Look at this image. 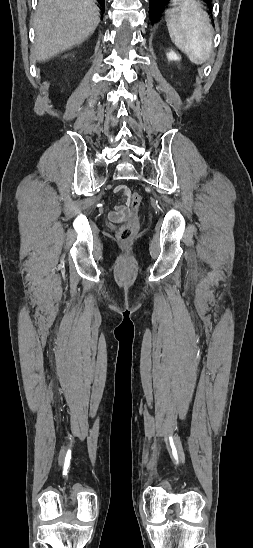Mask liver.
<instances>
[{
	"label": "liver",
	"instance_id": "liver-1",
	"mask_svg": "<svg viewBox=\"0 0 253 548\" xmlns=\"http://www.w3.org/2000/svg\"><path fill=\"white\" fill-rule=\"evenodd\" d=\"M94 0H39L34 17V58L42 62L92 35L100 22Z\"/></svg>",
	"mask_w": 253,
	"mask_h": 548
}]
</instances>
